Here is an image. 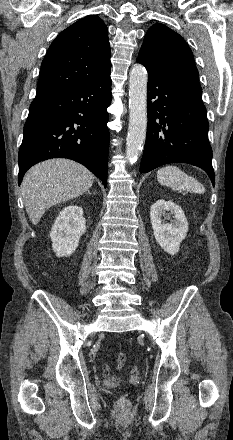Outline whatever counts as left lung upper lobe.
Returning a JSON list of instances; mask_svg holds the SVG:
<instances>
[{
  "label": "left lung upper lobe",
  "instance_id": "5c2ea615",
  "mask_svg": "<svg viewBox=\"0 0 233 440\" xmlns=\"http://www.w3.org/2000/svg\"><path fill=\"white\" fill-rule=\"evenodd\" d=\"M137 60L157 76L199 85L191 49L179 34L163 24H155L147 31Z\"/></svg>",
  "mask_w": 233,
  "mask_h": 440
}]
</instances>
